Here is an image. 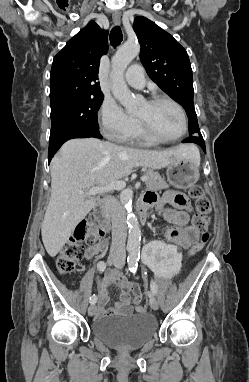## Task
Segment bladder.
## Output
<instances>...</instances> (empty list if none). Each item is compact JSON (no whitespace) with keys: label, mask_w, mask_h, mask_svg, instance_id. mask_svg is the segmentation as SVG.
<instances>
[{"label":"bladder","mask_w":249,"mask_h":382,"mask_svg":"<svg viewBox=\"0 0 249 382\" xmlns=\"http://www.w3.org/2000/svg\"><path fill=\"white\" fill-rule=\"evenodd\" d=\"M92 332L106 345L122 351L135 350L152 340L158 332L155 317L143 313L112 315L93 322Z\"/></svg>","instance_id":"bladder-1"}]
</instances>
